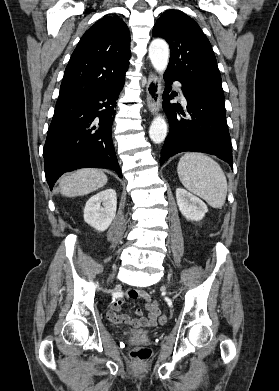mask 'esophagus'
Here are the masks:
<instances>
[{
  "label": "esophagus",
  "instance_id": "1",
  "mask_svg": "<svg viewBox=\"0 0 279 391\" xmlns=\"http://www.w3.org/2000/svg\"><path fill=\"white\" fill-rule=\"evenodd\" d=\"M147 107L151 114H156L160 107V78L154 73H151L146 85Z\"/></svg>",
  "mask_w": 279,
  "mask_h": 391
}]
</instances>
